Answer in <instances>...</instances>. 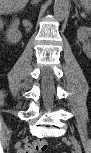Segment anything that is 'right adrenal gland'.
<instances>
[{
    "mask_svg": "<svg viewBox=\"0 0 91 153\" xmlns=\"http://www.w3.org/2000/svg\"><path fill=\"white\" fill-rule=\"evenodd\" d=\"M37 3H38V1H36V2L31 1V4H32V5H35V4H37Z\"/></svg>",
    "mask_w": 91,
    "mask_h": 153,
    "instance_id": "1",
    "label": "right adrenal gland"
}]
</instances>
